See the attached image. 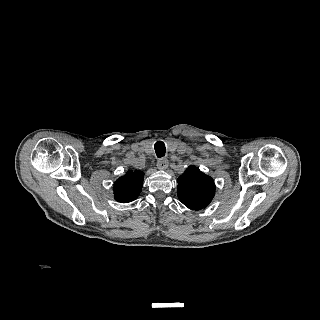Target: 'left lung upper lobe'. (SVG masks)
<instances>
[{"instance_id": "obj_1", "label": "left lung upper lobe", "mask_w": 320, "mask_h": 320, "mask_svg": "<svg viewBox=\"0 0 320 320\" xmlns=\"http://www.w3.org/2000/svg\"><path fill=\"white\" fill-rule=\"evenodd\" d=\"M177 194L180 201L189 209L206 208L215 195V184L210 176L192 165L178 178Z\"/></svg>"}]
</instances>
